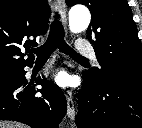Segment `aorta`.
Here are the masks:
<instances>
[{"mask_svg":"<svg viewBox=\"0 0 142 128\" xmlns=\"http://www.w3.org/2000/svg\"><path fill=\"white\" fill-rule=\"evenodd\" d=\"M90 21V12L85 7H76L69 12V27L73 33H79L86 30Z\"/></svg>","mask_w":142,"mask_h":128,"instance_id":"762f6f07","label":"aorta"}]
</instances>
